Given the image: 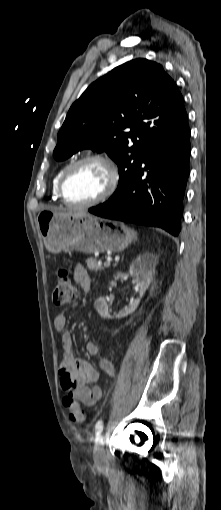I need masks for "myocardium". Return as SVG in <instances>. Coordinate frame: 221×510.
I'll return each instance as SVG.
<instances>
[{
  "label": "myocardium",
  "instance_id": "obj_1",
  "mask_svg": "<svg viewBox=\"0 0 221 510\" xmlns=\"http://www.w3.org/2000/svg\"><path fill=\"white\" fill-rule=\"evenodd\" d=\"M86 162H98L102 164L106 170L108 171V184L103 190V192L97 196L96 198L83 202V203H76L71 202L67 199L65 195V182L67 180V177L69 173L76 168L77 166L86 163ZM120 174L118 167L116 163L113 161L112 158H110L108 155L100 154V153H93V154H87L84 155L75 161L71 162L69 165L66 166L64 169L60 180L58 184V195L60 199L63 201V203L69 207L73 208H90L92 206L98 205L108 198H110L116 191L118 184H119Z\"/></svg>",
  "mask_w": 221,
  "mask_h": 510
}]
</instances>
